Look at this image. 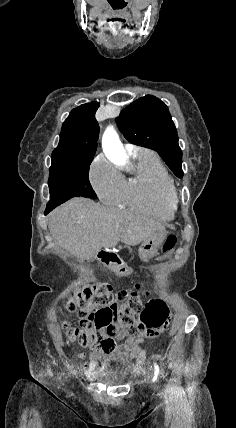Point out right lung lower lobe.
I'll use <instances>...</instances> for the list:
<instances>
[{
  "label": "right lung lower lobe",
  "mask_w": 236,
  "mask_h": 428,
  "mask_svg": "<svg viewBox=\"0 0 236 428\" xmlns=\"http://www.w3.org/2000/svg\"><path fill=\"white\" fill-rule=\"evenodd\" d=\"M55 207H56V206L47 207V208H46V211H45V213H44V214L49 213V212H50L51 210H53Z\"/></svg>",
  "instance_id": "98d812e1"
}]
</instances>
